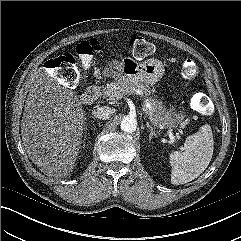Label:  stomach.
I'll return each mask as SVG.
<instances>
[{"instance_id":"stomach-1","label":"stomach","mask_w":241,"mask_h":241,"mask_svg":"<svg viewBox=\"0 0 241 241\" xmlns=\"http://www.w3.org/2000/svg\"><path fill=\"white\" fill-rule=\"evenodd\" d=\"M164 65L157 59H148L142 64L134 62V67L127 68L123 61L118 69L119 81L126 86H138L140 84L153 86L164 74ZM123 80V81H122Z\"/></svg>"}]
</instances>
